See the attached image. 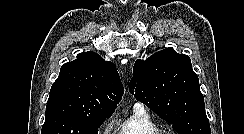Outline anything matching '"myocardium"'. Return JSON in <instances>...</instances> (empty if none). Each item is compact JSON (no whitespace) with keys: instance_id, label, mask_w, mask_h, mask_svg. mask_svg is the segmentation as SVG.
Wrapping results in <instances>:
<instances>
[{"instance_id":"1","label":"myocardium","mask_w":244,"mask_h":134,"mask_svg":"<svg viewBox=\"0 0 244 134\" xmlns=\"http://www.w3.org/2000/svg\"><path fill=\"white\" fill-rule=\"evenodd\" d=\"M156 134H176L171 131H166V130H159Z\"/></svg>"}]
</instances>
